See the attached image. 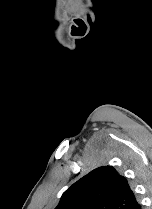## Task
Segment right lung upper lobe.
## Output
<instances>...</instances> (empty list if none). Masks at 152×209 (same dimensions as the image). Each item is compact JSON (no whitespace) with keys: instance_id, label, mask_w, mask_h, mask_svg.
I'll use <instances>...</instances> for the list:
<instances>
[{"instance_id":"1","label":"right lung upper lobe","mask_w":152,"mask_h":209,"mask_svg":"<svg viewBox=\"0 0 152 209\" xmlns=\"http://www.w3.org/2000/svg\"><path fill=\"white\" fill-rule=\"evenodd\" d=\"M135 200L127 179L114 167L101 166L65 191L55 209H129Z\"/></svg>"}]
</instances>
